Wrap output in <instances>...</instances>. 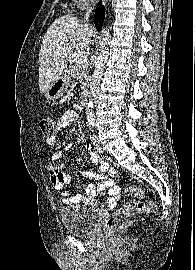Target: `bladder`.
<instances>
[{
	"instance_id": "1",
	"label": "bladder",
	"mask_w": 195,
	"mask_h": 270,
	"mask_svg": "<svg viewBox=\"0 0 195 270\" xmlns=\"http://www.w3.org/2000/svg\"><path fill=\"white\" fill-rule=\"evenodd\" d=\"M59 216L64 230L72 235H90L98 217V209L91 204L62 207Z\"/></svg>"
}]
</instances>
